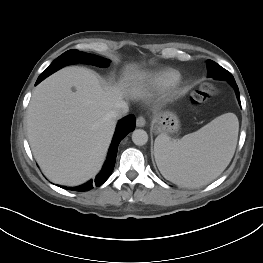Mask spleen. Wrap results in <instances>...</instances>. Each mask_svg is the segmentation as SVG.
Wrapping results in <instances>:
<instances>
[{"label": "spleen", "instance_id": "spleen-1", "mask_svg": "<svg viewBox=\"0 0 263 263\" xmlns=\"http://www.w3.org/2000/svg\"><path fill=\"white\" fill-rule=\"evenodd\" d=\"M238 118L225 113L181 139L162 133L154 151L161 174L183 187H200L216 179L230 163L237 145Z\"/></svg>", "mask_w": 263, "mask_h": 263}]
</instances>
